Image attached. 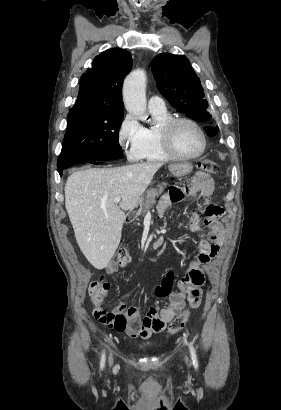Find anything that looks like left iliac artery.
Instances as JSON below:
<instances>
[{
    "instance_id": "obj_1",
    "label": "left iliac artery",
    "mask_w": 281,
    "mask_h": 410,
    "mask_svg": "<svg viewBox=\"0 0 281 410\" xmlns=\"http://www.w3.org/2000/svg\"><path fill=\"white\" fill-rule=\"evenodd\" d=\"M189 348H190V354H191L193 364H194L195 367H197L198 366L197 355H196V351H195L192 343H189Z\"/></svg>"
}]
</instances>
